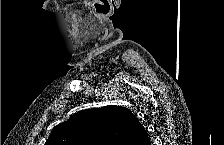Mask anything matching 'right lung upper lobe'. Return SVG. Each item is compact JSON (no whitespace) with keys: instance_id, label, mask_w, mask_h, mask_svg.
<instances>
[{"instance_id":"right-lung-upper-lobe-1","label":"right lung upper lobe","mask_w":224,"mask_h":145,"mask_svg":"<svg viewBox=\"0 0 224 145\" xmlns=\"http://www.w3.org/2000/svg\"><path fill=\"white\" fill-rule=\"evenodd\" d=\"M135 115L110 105L75 113L52 129L45 145H150Z\"/></svg>"}]
</instances>
